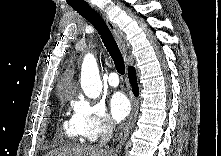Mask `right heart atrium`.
I'll list each match as a JSON object with an SVG mask.
<instances>
[{
	"mask_svg": "<svg viewBox=\"0 0 221 156\" xmlns=\"http://www.w3.org/2000/svg\"><path fill=\"white\" fill-rule=\"evenodd\" d=\"M72 107V123L81 140L95 142L114 130L112 118L100 103L78 97Z\"/></svg>",
	"mask_w": 221,
	"mask_h": 156,
	"instance_id": "1",
	"label": "right heart atrium"
}]
</instances>
